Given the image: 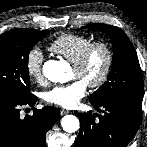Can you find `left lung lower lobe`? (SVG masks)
<instances>
[{
	"label": "left lung lower lobe",
	"mask_w": 147,
	"mask_h": 147,
	"mask_svg": "<svg viewBox=\"0 0 147 147\" xmlns=\"http://www.w3.org/2000/svg\"><path fill=\"white\" fill-rule=\"evenodd\" d=\"M91 104L98 111L104 108V114H78L81 126L74 147H126L140 126L142 108L123 101Z\"/></svg>",
	"instance_id": "1"
}]
</instances>
